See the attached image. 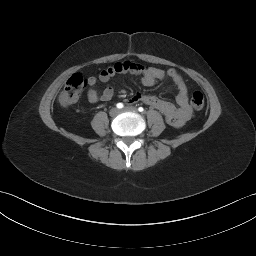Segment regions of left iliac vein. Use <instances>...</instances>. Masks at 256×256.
<instances>
[{"instance_id": "4c4485c4", "label": "left iliac vein", "mask_w": 256, "mask_h": 256, "mask_svg": "<svg viewBox=\"0 0 256 256\" xmlns=\"http://www.w3.org/2000/svg\"><path fill=\"white\" fill-rule=\"evenodd\" d=\"M121 112H137V109L135 107L129 106V107H125L121 110Z\"/></svg>"}]
</instances>
